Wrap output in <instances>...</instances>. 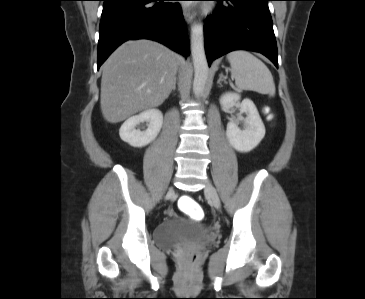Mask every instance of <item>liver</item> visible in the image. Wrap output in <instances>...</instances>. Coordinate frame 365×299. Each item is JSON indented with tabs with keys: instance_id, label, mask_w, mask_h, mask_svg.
I'll list each match as a JSON object with an SVG mask.
<instances>
[{
	"instance_id": "liver-1",
	"label": "liver",
	"mask_w": 365,
	"mask_h": 299,
	"mask_svg": "<svg viewBox=\"0 0 365 299\" xmlns=\"http://www.w3.org/2000/svg\"><path fill=\"white\" fill-rule=\"evenodd\" d=\"M180 58L163 45L128 41L103 64L100 106L110 123L161 105L169 96Z\"/></svg>"
}]
</instances>
